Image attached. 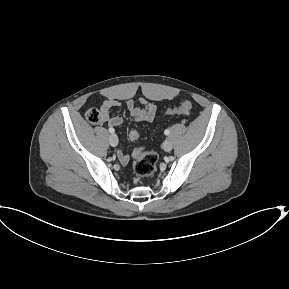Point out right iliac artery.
<instances>
[{
	"instance_id": "right-iliac-artery-1",
	"label": "right iliac artery",
	"mask_w": 289,
	"mask_h": 289,
	"mask_svg": "<svg viewBox=\"0 0 289 289\" xmlns=\"http://www.w3.org/2000/svg\"><path fill=\"white\" fill-rule=\"evenodd\" d=\"M109 132L114 133L115 132L114 128H109Z\"/></svg>"
}]
</instances>
